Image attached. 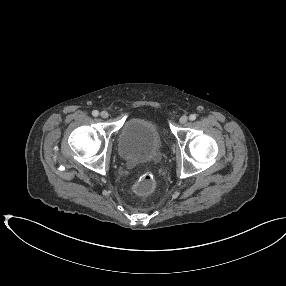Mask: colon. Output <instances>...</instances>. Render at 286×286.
I'll return each instance as SVG.
<instances>
[{"label": "colon", "instance_id": "colon-1", "mask_svg": "<svg viewBox=\"0 0 286 286\" xmlns=\"http://www.w3.org/2000/svg\"><path fill=\"white\" fill-rule=\"evenodd\" d=\"M154 176L150 172L142 174L139 180L134 185V191L139 196H147L152 193L154 189Z\"/></svg>", "mask_w": 286, "mask_h": 286}]
</instances>
